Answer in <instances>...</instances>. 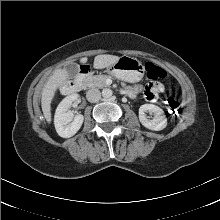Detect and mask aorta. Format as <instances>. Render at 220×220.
Listing matches in <instances>:
<instances>
[{
    "label": "aorta",
    "mask_w": 220,
    "mask_h": 220,
    "mask_svg": "<svg viewBox=\"0 0 220 220\" xmlns=\"http://www.w3.org/2000/svg\"><path fill=\"white\" fill-rule=\"evenodd\" d=\"M112 90L109 89V88H105L102 90V96L105 98V99H108L112 96Z\"/></svg>",
    "instance_id": "aorta-1"
}]
</instances>
